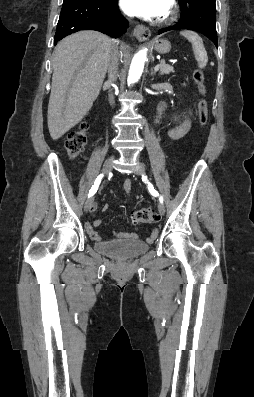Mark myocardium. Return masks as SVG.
Here are the masks:
<instances>
[{
    "label": "myocardium",
    "instance_id": "obj_1",
    "mask_svg": "<svg viewBox=\"0 0 254 397\" xmlns=\"http://www.w3.org/2000/svg\"><path fill=\"white\" fill-rule=\"evenodd\" d=\"M176 18H177V10L174 6H172L162 22L168 24L173 22Z\"/></svg>",
    "mask_w": 254,
    "mask_h": 397
}]
</instances>
